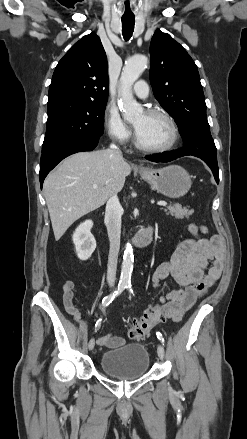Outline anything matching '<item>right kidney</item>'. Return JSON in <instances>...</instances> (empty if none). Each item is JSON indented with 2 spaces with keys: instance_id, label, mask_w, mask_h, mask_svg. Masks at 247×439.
I'll use <instances>...</instances> for the list:
<instances>
[{
  "instance_id": "obj_1",
  "label": "right kidney",
  "mask_w": 247,
  "mask_h": 439,
  "mask_svg": "<svg viewBox=\"0 0 247 439\" xmlns=\"http://www.w3.org/2000/svg\"><path fill=\"white\" fill-rule=\"evenodd\" d=\"M92 220L81 223L73 234V243L78 258L82 261L89 259L96 248V240L91 234Z\"/></svg>"
}]
</instances>
